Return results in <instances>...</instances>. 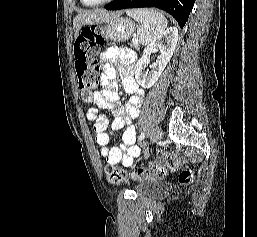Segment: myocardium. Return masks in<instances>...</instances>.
I'll return each instance as SVG.
<instances>
[{"label": "myocardium", "mask_w": 257, "mask_h": 237, "mask_svg": "<svg viewBox=\"0 0 257 237\" xmlns=\"http://www.w3.org/2000/svg\"><path fill=\"white\" fill-rule=\"evenodd\" d=\"M112 1H114V0H102V1H99V2L90 3V2H87L86 0H81V2L86 6H100V5L110 3Z\"/></svg>", "instance_id": "f54148a6"}]
</instances>
